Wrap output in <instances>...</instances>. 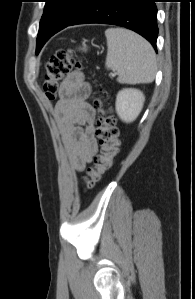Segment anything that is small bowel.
Segmentation results:
<instances>
[{
  "instance_id": "1",
  "label": "small bowel",
  "mask_w": 195,
  "mask_h": 299,
  "mask_svg": "<svg viewBox=\"0 0 195 299\" xmlns=\"http://www.w3.org/2000/svg\"><path fill=\"white\" fill-rule=\"evenodd\" d=\"M65 152L72 166L83 171L97 155L96 110L88 100V85L80 71L70 72L60 87L57 105Z\"/></svg>"
}]
</instances>
